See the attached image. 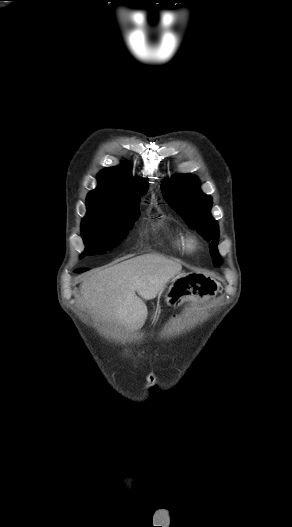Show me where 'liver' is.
I'll use <instances>...</instances> for the list:
<instances>
[{
    "label": "liver",
    "mask_w": 292,
    "mask_h": 527,
    "mask_svg": "<svg viewBox=\"0 0 292 527\" xmlns=\"http://www.w3.org/2000/svg\"><path fill=\"white\" fill-rule=\"evenodd\" d=\"M181 270L179 262L158 254L136 256L85 279L80 286L81 299L103 319L137 330L148 316L144 300L161 295L168 281L178 277Z\"/></svg>",
    "instance_id": "6515ba94"
}]
</instances>
